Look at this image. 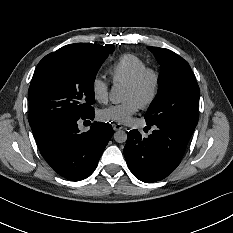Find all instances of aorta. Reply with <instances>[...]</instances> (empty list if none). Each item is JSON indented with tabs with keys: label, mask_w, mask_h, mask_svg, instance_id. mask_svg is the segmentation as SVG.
Returning a JSON list of instances; mask_svg holds the SVG:
<instances>
[{
	"label": "aorta",
	"mask_w": 233,
	"mask_h": 233,
	"mask_svg": "<svg viewBox=\"0 0 233 233\" xmlns=\"http://www.w3.org/2000/svg\"><path fill=\"white\" fill-rule=\"evenodd\" d=\"M125 97L124 89L119 84H114L110 93H109V99L112 104H119L122 102V100ZM114 140L117 143H124L127 140V134L123 130H118L114 133Z\"/></svg>",
	"instance_id": "762f6f07"
}]
</instances>
